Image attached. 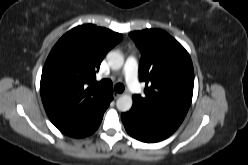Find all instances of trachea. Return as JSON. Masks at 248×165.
I'll list each match as a JSON object with an SVG mask.
<instances>
[{
  "label": "trachea",
  "instance_id": "3493384b",
  "mask_svg": "<svg viewBox=\"0 0 248 165\" xmlns=\"http://www.w3.org/2000/svg\"><path fill=\"white\" fill-rule=\"evenodd\" d=\"M98 86H101L103 88H112L113 84L110 79H104L100 82H97ZM114 90L118 93H122L124 91V85L121 83H118L115 85Z\"/></svg>",
  "mask_w": 248,
  "mask_h": 165
}]
</instances>
